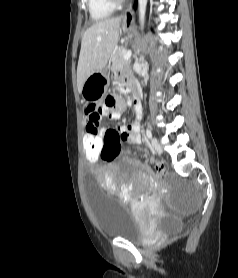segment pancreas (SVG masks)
Segmentation results:
<instances>
[{"mask_svg":"<svg viewBox=\"0 0 238 278\" xmlns=\"http://www.w3.org/2000/svg\"><path fill=\"white\" fill-rule=\"evenodd\" d=\"M125 49L124 47H119L117 48L112 56V66H111V70L112 71H117L119 69H121L124 65H126L127 63L130 62V60H125L124 59V55H125Z\"/></svg>","mask_w":238,"mask_h":278,"instance_id":"obj_1","label":"pancreas"}]
</instances>
